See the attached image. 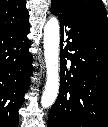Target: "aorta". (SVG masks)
<instances>
[{
  "mask_svg": "<svg viewBox=\"0 0 108 127\" xmlns=\"http://www.w3.org/2000/svg\"><path fill=\"white\" fill-rule=\"evenodd\" d=\"M59 43V21L56 17H51L44 27V57L47 69L45 90L41 98V106L44 108L53 105L59 91Z\"/></svg>",
  "mask_w": 108,
  "mask_h": 127,
  "instance_id": "obj_1",
  "label": "aorta"
}]
</instances>
